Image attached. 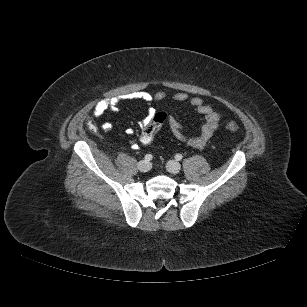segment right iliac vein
Segmentation results:
<instances>
[{
	"instance_id": "obj_1",
	"label": "right iliac vein",
	"mask_w": 307,
	"mask_h": 307,
	"mask_svg": "<svg viewBox=\"0 0 307 307\" xmlns=\"http://www.w3.org/2000/svg\"><path fill=\"white\" fill-rule=\"evenodd\" d=\"M139 171L148 172L151 169V164L148 161H140L137 165Z\"/></svg>"
}]
</instances>
